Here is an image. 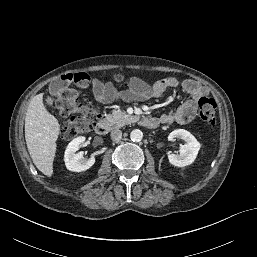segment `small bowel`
Wrapping results in <instances>:
<instances>
[{"label":"small bowel","mask_w":257,"mask_h":257,"mask_svg":"<svg viewBox=\"0 0 257 257\" xmlns=\"http://www.w3.org/2000/svg\"><path fill=\"white\" fill-rule=\"evenodd\" d=\"M180 88L187 99L174 112L164 113L159 117L163 125L187 124L191 122L197 112L198 101L207 94V89L194 80L179 81L168 77L156 81L149 86L143 80L133 77L124 90H117L112 84H104L95 79L92 83V93L96 101L102 104L112 102L142 101L151 97H162L168 89Z\"/></svg>","instance_id":"1"}]
</instances>
